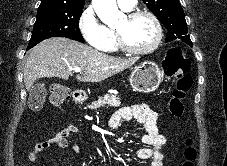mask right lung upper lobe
Returning a JSON list of instances; mask_svg holds the SVG:
<instances>
[{"label":"right lung upper lobe","instance_id":"right-lung-upper-lobe-1","mask_svg":"<svg viewBox=\"0 0 227 166\" xmlns=\"http://www.w3.org/2000/svg\"><path fill=\"white\" fill-rule=\"evenodd\" d=\"M85 0H42L39 8L43 7H69L82 8Z\"/></svg>","mask_w":227,"mask_h":166}]
</instances>
